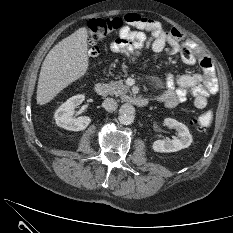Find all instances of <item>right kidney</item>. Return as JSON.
<instances>
[{"label": "right kidney", "instance_id": "ca27d5eb", "mask_svg": "<svg viewBox=\"0 0 233 233\" xmlns=\"http://www.w3.org/2000/svg\"><path fill=\"white\" fill-rule=\"evenodd\" d=\"M85 99L83 94L75 95L64 102L55 112L54 118L57 126L70 131H82L90 123L91 118L88 116L74 118V109Z\"/></svg>", "mask_w": 233, "mask_h": 233}]
</instances>
